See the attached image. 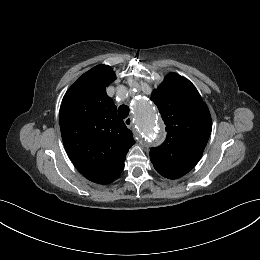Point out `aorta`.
Returning <instances> with one entry per match:
<instances>
[{"label":"aorta","mask_w":260,"mask_h":260,"mask_svg":"<svg viewBox=\"0 0 260 260\" xmlns=\"http://www.w3.org/2000/svg\"><path fill=\"white\" fill-rule=\"evenodd\" d=\"M133 108L140 135L147 144L157 145L160 142V134L153 105L141 97L134 101Z\"/></svg>","instance_id":"aorta-1"}]
</instances>
